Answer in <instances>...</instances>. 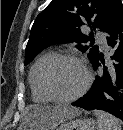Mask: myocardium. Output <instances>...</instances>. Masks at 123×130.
Masks as SVG:
<instances>
[{
    "mask_svg": "<svg viewBox=\"0 0 123 130\" xmlns=\"http://www.w3.org/2000/svg\"><path fill=\"white\" fill-rule=\"evenodd\" d=\"M65 60H71L78 63L83 68L86 74V80L83 86L75 94L68 97L62 96L56 91L53 85V79H52L54 70L57 67V65L60 62L65 61ZM91 83H92V73L90 69L83 62L82 59H80L79 57L71 53H60V54L55 55L46 66L44 74H43V84H44V88L46 92L52 98V100L59 103H71V102L76 101L77 99H79L86 93Z\"/></svg>",
    "mask_w": 123,
    "mask_h": 130,
    "instance_id": "obj_1",
    "label": "myocardium"
}]
</instances>
